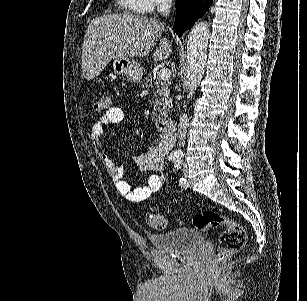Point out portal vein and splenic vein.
I'll return each instance as SVG.
<instances>
[{
	"label": "portal vein and splenic vein",
	"instance_id": "portal-vein-and-splenic-vein-1",
	"mask_svg": "<svg viewBox=\"0 0 307 301\" xmlns=\"http://www.w3.org/2000/svg\"><path fill=\"white\" fill-rule=\"evenodd\" d=\"M170 76H171V72L169 68H161L159 72L160 80H169Z\"/></svg>",
	"mask_w": 307,
	"mask_h": 301
}]
</instances>
